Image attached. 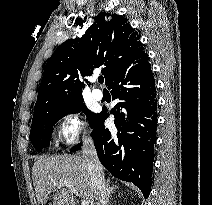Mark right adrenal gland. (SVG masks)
I'll return each mask as SVG.
<instances>
[{
	"label": "right adrenal gland",
	"mask_w": 212,
	"mask_h": 205,
	"mask_svg": "<svg viewBox=\"0 0 212 205\" xmlns=\"http://www.w3.org/2000/svg\"><path fill=\"white\" fill-rule=\"evenodd\" d=\"M116 189H119L117 186H110V181H107V185H106V201H105V205H108V203L110 202V198H111V194L114 193V191Z\"/></svg>",
	"instance_id": "2a0ac1e0"
}]
</instances>
